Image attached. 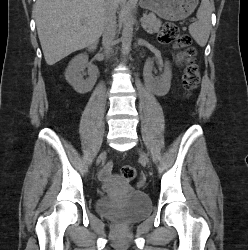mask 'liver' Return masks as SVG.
<instances>
[{
    "label": "liver",
    "instance_id": "6515ba94",
    "mask_svg": "<svg viewBox=\"0 0 248 250\" xmlns=\"http://www.w3.org/2000/svg\"><path fill=\"white\" fill-rule=\"evenodd\" d=\"M109 1H36L34 6L36 27L48 65H54L100 38ZM114 3L117 8L120 0H114Z\"/></svg>",
    "mask_w": 248,
    "mask_h": 250
}]
</instances>
